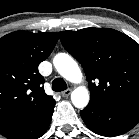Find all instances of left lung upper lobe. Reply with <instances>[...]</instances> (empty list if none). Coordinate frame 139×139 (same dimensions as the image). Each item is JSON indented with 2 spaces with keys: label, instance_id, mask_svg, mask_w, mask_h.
<instances>
[{
  "label": "left lung upper lobe",
  "instance_id": "1",
  "mask_svg": "<svg viewBox=\"0 0 139 139\" xmlns=\"http://www.w3.org/2000/svg\"><path fill=\"white\" fill-rule=\"evenodd\" d=\"M64 48L86 74L90 104L109 107L139 100V44L108 28L59 33Z\"/></svg>",
  "mask_w": 139,
  "mask_h": 139
}]
</instances>
